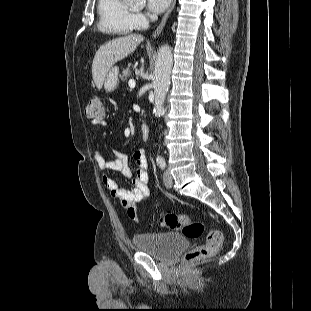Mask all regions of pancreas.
Returning <instances> with one entry per match:
<instances>
[{"instance_id":"obj_1","label":"pancreas","mask_w":311,"mask_h":311,"mask_svg":"<svg viewBox=\"0 0 311 311\" xmlns=\"http://www.w3.org/2000/svg\"><path fill=\"white\" fill-rule=\"evenodd\" d=\"M131 76H132V72L130 71L129 68L123 69L122 73L119 75L121 80H124V81L130 78Z\"/></svg>"}]
</instances>
